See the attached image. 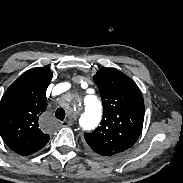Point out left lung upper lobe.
Here are the masks:
<instances>
[{
  "label": "left lung upper lobe",
  "mask_w": 183,
  "mask_h": 183,
  "mask_svg": "<svg viewBox=\"0 0 183 183\" xmlns=\"http://www.w3.org/2000/svg\"><path fill=\"white\" fill-rule=\"evenodd\" d=\"M103 102L101 125L84 137L99 156L111 157L132 147L140 136L144 101L137 85L114 68H103L93 76Z\"/></svg>",
  "instance_id": "1"
}]
</instances>
